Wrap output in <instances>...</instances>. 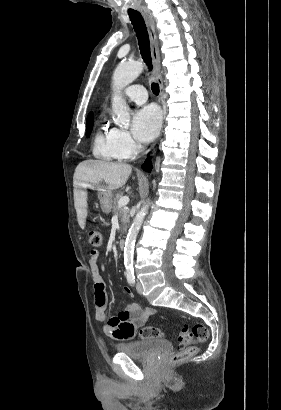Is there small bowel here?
Segmentation results:
<instances>
[{"label": "small bowel", "mask_w": 281, "mask_h": 410, "mask_svg": "<svg viewBox=\"0 0 281 410\" xmlns=\"http://www.w3.org/2000/svg\"><path fill=\"white\" fill-rule=\"evenodd\" d=\"M89 267L93 279L95 316L99 321L107 320L103 327L105 334L116 340L133 339L137 328L148 322L153 310L150 308L144 309L135 303H131L118 316H111L107 319L106 283L100 273L99 254L95 250L90 253ZM124 293L127 297H133V293L128 287L124 288Z\"/></svg>", "instance_id": "obj_1"}]
</instances>
